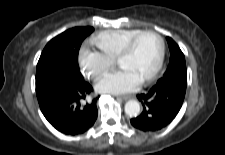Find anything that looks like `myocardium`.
<instances>
[{
  "instance_id": "obj_1",
  "label": "myocardium",
  "mask_w": 225,
  "mask_h": 155,
  "mask_svg": "<svg viewBox=\"0 0 225 155\" xmlns=\"http://www.w3.org/2000/svg\"><path fill=\"white\" fill-rule=\"evenodd\" d=\"M147 34L154 35L159 40L160 51H159V57H158V60H157V63L155 65L154 69L152 70V72L144 80H142L143 84L149 83V82H151L152 80H154L157 77V75L159 74V72H160V70L162 68L163 62H164V58H165V41H164L163 37L158 32L153 31V30H141L140 32H138L137 34L132 36L125 43V45L123 46V48L121 49V51L119 52V54H118V56L116 58L117 63H119L123 58H125L126 56H128L132 52L136 42L142 36L147 35Z\"/></svg>"
}]
</instances>
